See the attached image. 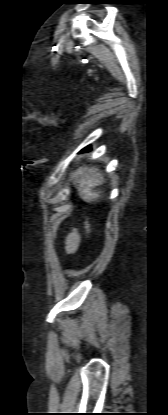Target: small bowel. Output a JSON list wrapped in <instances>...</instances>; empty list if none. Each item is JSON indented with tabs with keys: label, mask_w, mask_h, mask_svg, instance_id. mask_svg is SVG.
I'll use <instances>...</instances> for the list:
<instances>
[{
	"label": "small bowel",
	"mask_w": 168,
	"mask_h": 415,
	"mask_svg": "<svg viewBox=\"0 0 168 415\" xmlns=\"http://www.w3.org/2000/svg\"><path fill=\"white\" fill-rule=\"evenodd\" d=\"M65 251L68 254H73L77 251L80 244V235L77 232H72L65 238Z\"/></svg>",
	"instance_id": "small-bowel-1"
}]
</instances>
